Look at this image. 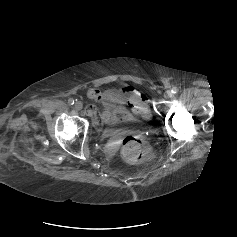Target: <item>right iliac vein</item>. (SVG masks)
I'll use <instances>...</instances> for the list:
<instances>
[{
  "instance_id": "1",
  "label": "right iliac vein",
  "mask_w": 237,
  "mask_h": 237,
  "mask_svg": "<svg viewBox=\"0 0 237 237\" xmlns=\"http://www.w3.org/2000/svg\"><path fill=\"white\" fill-rule=\"evenodd\" d=\"M74 107H75L76 110L79 111V110H81L83 108V105H82V103L80 101H77V102H75Z\"/></svg>"
}]
</instances>
